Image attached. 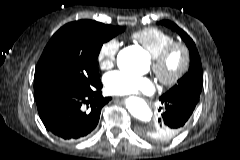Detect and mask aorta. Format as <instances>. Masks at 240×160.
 <instances>
[{
	"label": "aorta",
	"instance_id": "aorta-1",
	"mask_svg": "<svg viewBox=\"0 0 240 160\" xmlns=\"http://www.w3.org/2000/svg\"><path fill=\"white\" fill-rule=\"evenodd\" d=\"M128 62L132 69L140 71L147 63V58L142 49L136 47L126 48L118 54L117 62L122 66L124 62ZM126 107L132 116L143 122L151 121V111L147 103L139 97L131 96L126 99Z\"/></svg>",
	"mask_w": 240,
	"mask_h": 160
}]
</instances>
